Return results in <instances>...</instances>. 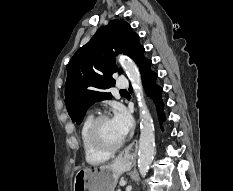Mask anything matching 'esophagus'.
Returning <instances> with one entry per match:
<instances>
[{
  "mask_svg": "<svg viewBox=\"0 0 233 191\" xmlns=\"http://www.w3.org/2000/svg\"><path fill=\"white\" fill-rule=\"evenodd\" d=\"M138 147L137 140H134L128 147H126L116 158V162L127 163L135 159Z\"/></svg>",
  "mask_w": 233,
  "mask_h": 191,
  "instance_id": "34e87169",
  "label": "esophagus"
}]
</instances>
